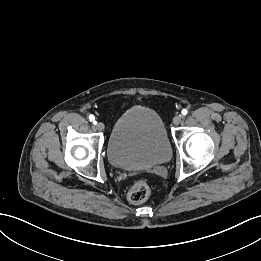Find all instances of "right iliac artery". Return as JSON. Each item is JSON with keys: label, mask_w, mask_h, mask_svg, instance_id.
Instances as JSON below:
<instances>
[{"label": "right iliac artery", "mask_w": 261, "mask_h": 261, "mask_svg": "<svg viewBox=\"0 0 261 261\" xmlns=\"http://www.w3.org/2000/svg\"><path fill=\"white\" fill-rule=\"evenodd\" d=\"M89 120L90 121H92L93 123H94V125L97 123L96 121H95V116L94 115H89Z\"/></svg>", "instance_id": "right-iliac-artery-1"}]
</instances>
